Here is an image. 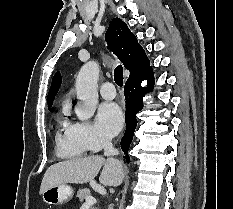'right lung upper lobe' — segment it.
<instances>
[{
	"mask_svg": "<svg viewBox=\"0 0 233 209\" xmlns=\"http://www.w3.org/2000/svg\"><path fill=\"white\" fill-rule=\"evenodd\" d=\"M105 39L110 50L120 59L124 67L130 71L127 80L135 78L151 68L145 51L138 43L136 36L121 19L114 18L111 21ZM61 81V75L57 72L52 79L48 93V107L52 106L55 95L61 86Z\"/></svg>",
	"mask_w": 233,
	"mask_h": 209,
	"instance_id": "obj_1",
	"label": "right lung upper lobe"
}]
</instances>
